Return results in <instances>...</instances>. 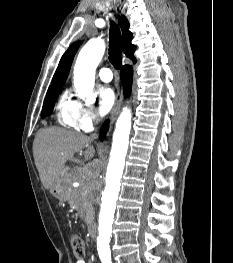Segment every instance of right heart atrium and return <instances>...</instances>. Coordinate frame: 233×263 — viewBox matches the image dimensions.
<instances>
[{
	"mask_svg": "<svg viewBox=\"0 0 233 263\" xmlns=\"http://www.w3.org/2000/svg\"><path fill=\"white\" fill-rule=\"evenodd\" d=\"M97 115L94 109L87 105L78 103L75 115H74V127L80 131H89L97 122Z\"/></svg>",
	"mask_w": 233,
	"mask_h": 263,
	"instance_id": "right-heart-atrium-1",
	"label": "right heart atrium"
}]
</instances>
